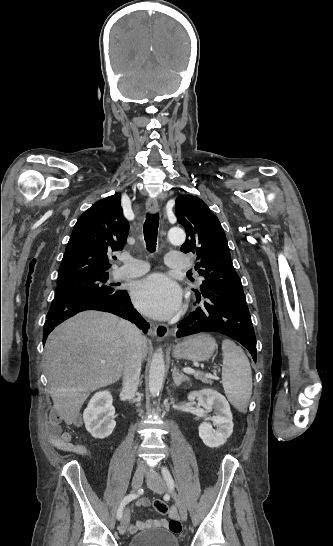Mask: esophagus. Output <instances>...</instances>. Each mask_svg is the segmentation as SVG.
Listing matches in <instances>:
<instances>
[{
  "instance_id": "esophagus-1",
  "label": "esophagus",
  "mask_w": 333,
  "mask_h": 546,
  "mask_svg": "<svg viewBox=\"0 0 333 546\" xmlns=\"http://www.w3.org/2000/svg\"><path fill=\"white\" fill-rule=\"evenodd\" d=\"M147 209L151 213H157L159 210L158 202L156 198H149L147 200ZM169 334V327L165 324H159L154 328V336L158 341L164 340Z\"/></svg>"
}]
</instances>
